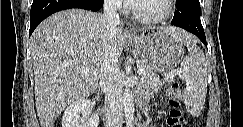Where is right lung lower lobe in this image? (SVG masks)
Returning <instances> with one entry per match:
<instances>
[{
    "label": "right lung lower lobe",
    "instance_id": "right-lung-lower-lobe-1",
    "mask_svg": "<svg viewBox=\"0 0 243 127\" xmlns=\"http://www.w3.org/2000/svg\"><path fill=\"white\" fill-rule=\"evenodd\" d=\"M102 4L103 0H33L29 37L42 20L55 12L71 8L97 11L102 7Z\"/></svg>",
    "mask_w": 243,
    "mask_h": 127
}]
</instances>
